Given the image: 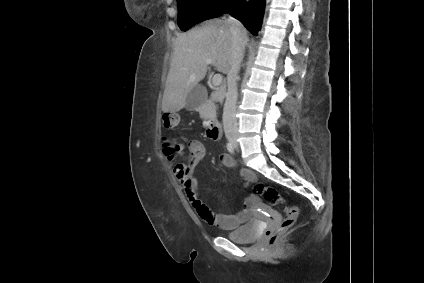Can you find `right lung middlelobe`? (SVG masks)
<instances>
[{
	"instance_id": "obj_1",
	"label": "right lung middle lobe",
	"mask_w": 424,
	"mask_h": 283,
	"mask_svg": "<svg viewBox=\"0 0 424 283\" xmlns=\"http://www.w3.org/2000/svg\"><path fill=\"white\" fill-rule=\"evenodd\" d=\"M178 25L182 31L226 13L234 0H177Z\"/></svg>"
}]
</instances>
